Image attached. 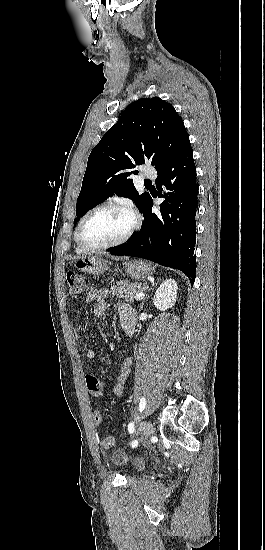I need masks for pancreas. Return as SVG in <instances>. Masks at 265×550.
I'll return each mask as SVG.
<instances>
[{
	"label": "pancreas",
	"instance_id": "pancreas-1",
	"mask_svg": "<svg viewBox=\"0 0 265 550\" xmlns=\"http://www.w3.org/2000/svg\"><path fill=\"white\" fill-rule=\"evenodd\" d=\"M145 289V285L131 283L127 280L116 283L115 288H111V292L117 295L118 299L124 298L127 302H133L136 295Z\"/></svg>",
	"mask_w": 265,
	"mask_h": 550
}]
</instances>
